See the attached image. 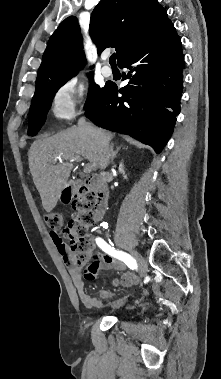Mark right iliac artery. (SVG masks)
Here are the masks:
<instances>
[{
  "instance_id": "82829eb1",
  "label": "right iliac artery",
  "mask_w": 221,
  "mask_h": 379,
  "mask_svg": "<svg viewBox=\"0 0 221 379\" xmlns=\"http://www.w3.org/2000/svg\"><path fill=\"white\" fill-rule=\"evenodd\" d=\"M96 243L104 252L123 261L130 269H135L137 267L136 260L131 255L115 249L102 238L97 237Z\"/></svg>"
}]
</instances>
